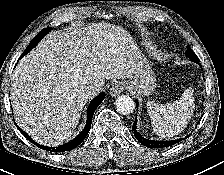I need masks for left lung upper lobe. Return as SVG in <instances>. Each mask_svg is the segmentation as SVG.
I'll list each match as a JSON object with an SVG mask.
<instances>
[{
	"instance_id": "5c2ea615",
	"label": "left lung upper lobe",
	"mask_w": 224,
	"mask_h": 175,
	"mask_svg": "<svg viewBox=\"0 0 224 175\" xmlns=\"http://www.w3.org/2000/svg\"><path fill=\"white\" fill-rule=\"evenodd\" d=\"M186 55H187L188 58L191 59V61H193L195 63H198L199 62L198 57L196 56V54L189 47H187Z\"/></svg>"
}]
</instances>
